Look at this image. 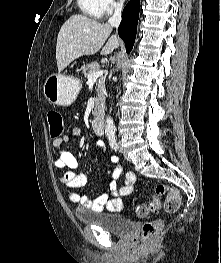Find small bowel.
<instances>
[{"instance_id": "obj_1", "label": "small bowel", "mask_w": 221, "mask_h": 263, "mask_svg": "<svg viewBox=\"0 0 221 263\" xmlns=\"http://www.w3.org/2000/svg\"><path fill=\"white\" fill-rule=\"evenodd\" d=\"M81 130L78 127H73L64 136L52 141V149L55 151L57 157L54 164L60 170L68 169L59 176V181L69 190L70 201L79 206L81 209L91 210L93 212H119L123 210L124 203L121 197L128 196L133 192L136 175L133 172H127L123 184L118 187L117 181L122 175V168L119 165V158L115 155L110 157L112 163L116 167L109 173L107 180L108 191L90 200L86 195L75 191V189L85 186L87 182L86 175L74 171L78 162L76 158L67 151L62 150V145L71 139L78 138ZM94 151L99 155L106 154V146L100 139L94 143Z\"/></svg>"}]
</instances>
